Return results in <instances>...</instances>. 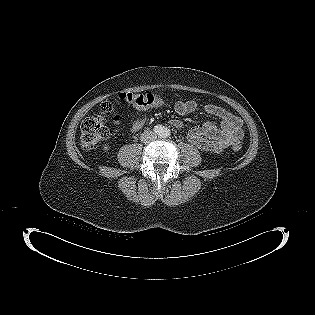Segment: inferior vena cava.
<instances>
[{
    "instance_id": "1",
    "label": "inferior vena cava",
    "mask_w": 315,
    "mask_h": 315,
    "mask_svg": "<svg viewBox=\"0 0 315 315\" xmlns=\"http://www.w3.org/2000/svg\"><path fill=\"white\" fill-rule=\"evenodd\" d=\"M145 134H148V135H150V137L152 138V139H154V138H156V135H155V133L154 132H147V133H145Z\"/></svg>"
}]
</instances>
